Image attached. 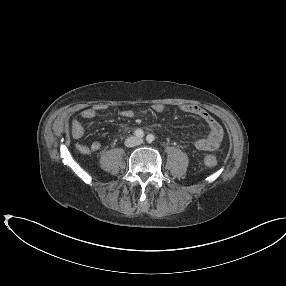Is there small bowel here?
Segmentation results:
<instances>
[{
  "instance_id": "1",
  "label": "small bowel",
  "mask_w": 286,
  "mask_h": 286,
  "mask_svg": "<svg viewBox=\"0 0 286 286\" xmlns=\"http://www.w3.org/2000/svg\"><path fill=\"white\" fill-rule=\"evenodd\" d=\"M180 108L185 113L193 114L202 118L209 127L208 135L204 138L198 139L195 142L196 148L201 151H213L217 149L223 138V129L221 125L217 122V120L207 110H205L199 105L183 104ZM164 109V105L160 103H156L152 106V110L158 114H161ZM100 110H102V107L100 106L85 108L80 113V119H92L98 114ZM120 114L125 118H132L134 116V112L130 109H124L121 111ZM80 119L73 118L69 121L70 134L76 140L82 139L85 134V129ZM100 149L101 142L98 140H94L88 145L76 144L77 152L82 155H88L92 152L99 151Z\"/></svg>"
}]
</instances>
